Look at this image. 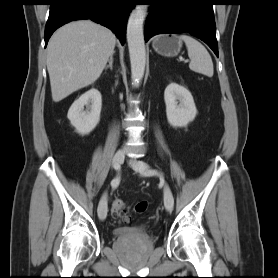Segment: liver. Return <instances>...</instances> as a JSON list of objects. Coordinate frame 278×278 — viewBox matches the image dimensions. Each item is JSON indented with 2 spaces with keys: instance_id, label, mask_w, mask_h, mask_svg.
Wrapping results in <instances>:
<instances>
[{
  "instance_id": "liver-1",
  "label": "liver",
  "mask_w": 278,
  "mask_h": 278,
  "mask_svg": "<svg viewBox=\"0 0 278 278\" xmlns=\"http://www.w3.org/2000/svg\"><path fill=\"white\" fill-rule=\"evenodd\" d=\"M116 37L106 27L90 20L59 28L47 46V70L52 99L59 102L94 83L114 52Z\"/></svg>"
}]
</instances>
